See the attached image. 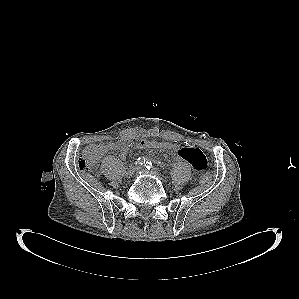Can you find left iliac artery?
I'll use <instances>...</instances> for the list:
<instances>
[{"mask_svg": "<svg viewBox=\"0 0 299 299\" xmlns=\"http://www.w3.org/2000/svg\"><path fill=\"white\" fill-rule=\"evenodd\" d=\"M145 167H146L148 170H150V169L152 168V162H151V161H147V162L145 163Z\"/></svg>", "mask_w": 299, "mask_h": 299, "instance_id": "1", "label": "left iliac artery"}]
</instances>
